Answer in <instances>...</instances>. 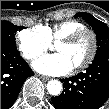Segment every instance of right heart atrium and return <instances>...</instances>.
<instances>
[{
    "label": "right heart atrium",
    "mask_w": 109,
    "mask_h": 109,
    "mask_svg": "<svg viewBox=\"0 0 109 109\" xmlns=\"http://www.w3.org/2000/svg\"><path fill=\"white\" fill-rule=\"evenodd\" d=\"M16 43L20 54L27 60L36 59L51 47V42L41 26L18 32Z\"/></svg>",
    "instance_id": "right-heart-atrium-1"
}]
</instances>
